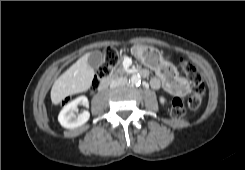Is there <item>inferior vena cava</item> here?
Wrapping results in <instances>:
<instances>
[{
  "instance_id": "obj_1",
  "label": "inferior vena cava",
  "mask_w": 245,
  "mask_h": 170,
  "mask_svg": "<svg viewBox=\"0 0 245 170\" xmlns=\"http://www.w3.org/2000/svg\"><path fill=\"white\" fill-rule=\"evenodd\" d=\"M127 82L128 81H127L126 77H119V78L113 79L110 82V87L114 88V87H117V86H123V85H126Z\"/></svg>"
}]
</instances>
